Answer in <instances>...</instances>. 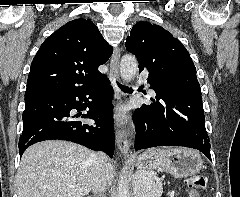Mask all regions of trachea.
Returning a JSON list of instances; mask_svg holds the SVG:
<instances>
[{"instance_id": "trachea-1", "label": "trachea", "mask_w": 240, "mask_h": 197, "mask_svg": "<svg viewBox=\"0 0 240 197\" xmlns=\"http://www.w3.org/2000/svg\"><path fill=\"white\" fill-rule=\"evenodd\" d=\"M118 84V86H119V88L121 89V90H123V91H127V90H130L131 88H128V87H126V86H123V85H121V84H119V83H117Z\"/></svg>"}]
</instances>
